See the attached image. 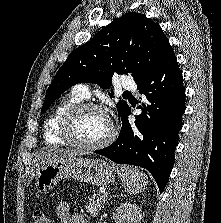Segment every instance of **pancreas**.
I'll list each match as a JSON object with an SVG mask.
<instances>
[{
	"label": "pancreas",
	"mask_w": 221,
	"mask_h": 223,
	"mask_svg": "<svg viewBox=\"0 0 221 223\" xmlns=\"http://www.w3.org/2000/svg\"><path fill=\"white\" fill-rule=\"evenodd\" d=\"M106 200L107 198L102 194H93L89 197V201L87 202V212H89L92 217H96L103 208V204L106 203Z\"/></svg>",
	"instance_id": "pancreas-1"
}]
</instances>
